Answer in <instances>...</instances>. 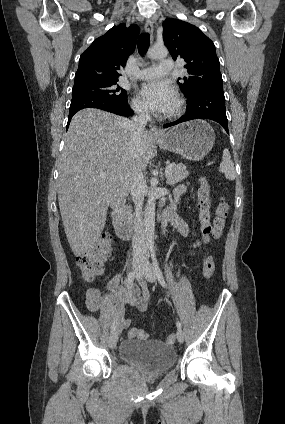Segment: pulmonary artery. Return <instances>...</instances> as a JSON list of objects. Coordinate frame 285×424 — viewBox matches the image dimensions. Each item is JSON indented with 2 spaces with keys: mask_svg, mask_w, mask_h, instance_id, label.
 I'll return each mask as SVG.
<instances>
[{
  "mask_svg": "<svg viewBox=\"0 0 285 424\" xmlns=\"http://www.w3.org/2000/svg\"><path fill=\"white\" fill-rule=\"evenodd\" d=\"M173 70V61L169 59L162 60L158 66H151L140 70L135 77L142 80H152L171 73Z\"/></svg>",
  "mask_w": 285,
  "mask_h": 424,
  "instance_id": "e3ab8cb5",
  "label": "pulmonary artery"
}]
</instances>
